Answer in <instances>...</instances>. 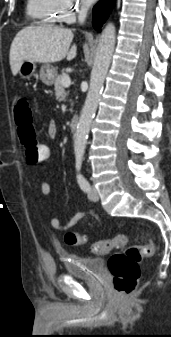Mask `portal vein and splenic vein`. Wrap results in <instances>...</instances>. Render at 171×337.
<instances>
[{
	"instance_id": "18ae733b",
	"label": "portal vein and splenic vein",
	"mask_w": 171,
	"mask_h": 337,
	"mask_svg": "<svg viewBox=\"0 0 171 337\" xmlns=\"http://www.w3.org/2000/svg\"><path fill=\"white\" fill-rule=\"evenodd\" d=\"M70 84H71L70 77L68 75L64 76L63 79H62V85L64 87H69Z\"/></svg>"
}]
</instances>
